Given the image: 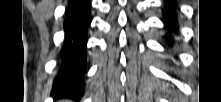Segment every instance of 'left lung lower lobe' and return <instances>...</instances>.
I'll list each match as a JSON object with an SVG mask.
<instances>
[{"label":"left lung lower lobe","mask_w":221,"mask_h":102,"mask_svg":"<svg viewBox=\"0 0 221 102\" xmlns=\"http://www.w3.org/2000/svg\"><path fill=\"white\" fill-rule=\"evenodd\" d=\"M167 16H168V18L170 19V22L165 21L166 27H167L169 30L175 29V24H174L175 18H174V16L171 15V13H170V14H167ZM168 37H170L169 34H168Z\"/></svg>","instance_id":"left-lung-lower-lobe-1"}]
</instances>
